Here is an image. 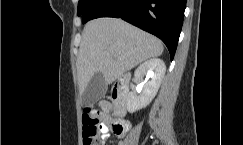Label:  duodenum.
<instances>
[{
	"label": "duodenum",
	"mask_w": 243,
	"mask_h": 145,
	"mask_svg": "<svg viewBox=\"0 0 243 145\" xmlns=\"http://www.w3.org/2000/svg\"><path fill=\"white\" fill-rule=\"evenodd\" d=\"M130 76L125 73L121 75L111 91V98L114 112L118 116H124L126 113V100L129 92Z\"/></svg>",
	"instance_id": "obj_1"
}]
</instances>
